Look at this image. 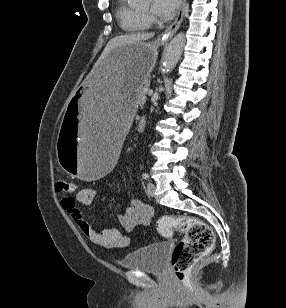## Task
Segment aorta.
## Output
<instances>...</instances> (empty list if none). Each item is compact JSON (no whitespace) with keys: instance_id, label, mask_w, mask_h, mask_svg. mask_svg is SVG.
<instances>
[{"instance_id":"aorta-1","label":"aorta","mask_w":286,"mask_h":308,"mask_svg":"<svg viewBox=\"0 0 286 308\" xmlns=\"http://www.w3.org/2000/svg\"><path fill=\"white\" fill-rule=\"evenodd\" d=\"M138 2H145L147 0H137ZM185 45L184 33H178L169 43L163 57V71L166 73L171 72L178 63L183 48Z\"/></svg>"}]
</instances>
